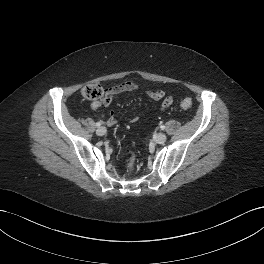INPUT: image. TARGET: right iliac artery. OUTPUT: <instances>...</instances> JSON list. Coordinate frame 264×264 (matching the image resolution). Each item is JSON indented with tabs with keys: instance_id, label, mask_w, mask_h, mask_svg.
<instances>
[{
	"instance_id": "82829eb1",
	"label": "right iliac artery",
	"mask_w": 264,
	"mask_h": 264,
	"mask_svg": "<svg viewBox=\"0 0 264 264\" xmlns=\"http://www.w3.org/2000/svg\"><path fill=\"white\" fill-rule=\"evenodd\" d=\"M100 125H101L100 122H97V123H96V126H97V127H100Z\"/></svg>"
}]
</instances>
